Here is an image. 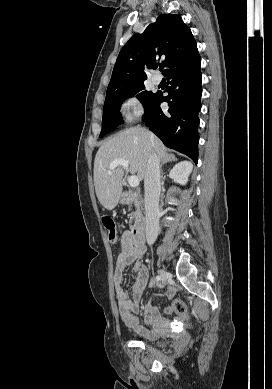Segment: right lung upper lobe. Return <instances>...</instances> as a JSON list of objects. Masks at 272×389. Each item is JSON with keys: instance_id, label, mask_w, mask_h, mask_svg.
<instances>
[{"instance_id": "obj_1", "label": "right lung upper lobe", "mask_w": 272, "mask_h": 389, "mask_svg": "<svg viewBox=\"0 0 272 389\" xmlns=\"http://www.w3.org/2000/svg\"><path fill=\"white\" fill-rule=\"evenodd\" d=\"M198 55L195 39L179 15L163 14L142 34L133 35L120 51L107 93L144 83V68H156L160 59L167 76Z\"/></svg>"}]
</instances>
